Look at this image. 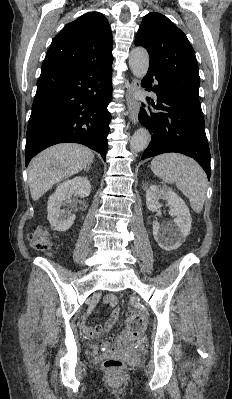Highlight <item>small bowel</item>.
<instances>
[{
  "mask_svg": "<svg viewBox=\"0 0 232 399\" xmlns=\"http://www.w3.org/2000/svg\"><path fill=\"white\" fill-rule=\"evenodd\" d=\"M102 301L104 304H109L113 307L110 321L105 325H95V326L89 325L82 321H78L75 323L77 329L84 331L86 333H105L112 329L120 313L119 309L115 306V304L118 301V298L115 294L110 293L104 295Z\"/></svg>",
  "mask_w": 232,
  "mask_h": 399,
  "instance_id": "small-bowel-1",
  "label": "small bowel"
}]
</instances>
